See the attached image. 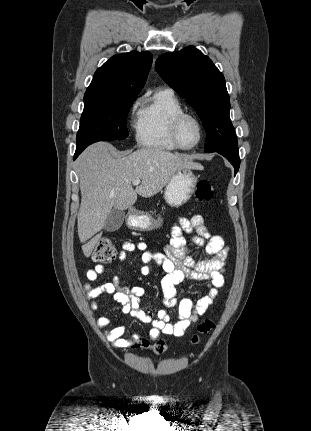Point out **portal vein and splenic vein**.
Returning a JSON list of instances; mask_svg holds the SVG:
<instances>
[{
	"label": "portal vein and splenic vein",
	"mask_w": 311,
	"mask_h": 431,
	"mask_svg": "<svg viewBox=\"0 0 311 431\" xmlns=\"http://www.w3.org/2000/svg\"><path fill=\"white\" fill-rule=\"evenodd\" d=\"M141 180H134V182H132L133 186H139Z\"/></svg>",
	"instance_id": "obj_1"
}]
</instances>
